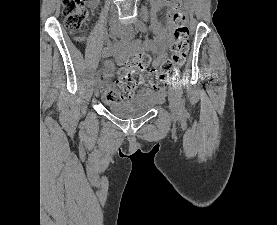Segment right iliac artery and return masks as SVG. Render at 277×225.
<instances>
[{
	"label": "right iliac artery",
	"mask_w": 277,
	"mask_h": 225,
	"mask_svg": "<svg viewBox=\"0 0 277 225\" xmlns=\"http://www.w3.org/2000/svg\"><path fill=\"white\" fill-rule=\"evenodd\" d=\"M132 39V36L131 35H125V36H122L121 39L119 40V44H126L128 43L130 40ZM99 83V80L97 77L94 78V80L92 81V85L93 86H97V84Z\"/></svg>",
	"instance_id": "obj_1"
}]
</instances>
